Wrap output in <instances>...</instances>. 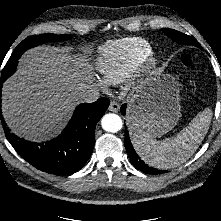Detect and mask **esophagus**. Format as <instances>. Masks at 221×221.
I'll list each match as a JSON object with an SVG mask.
<instances>
[{
    "label": "esophagus",
    "mask_w": 221,
    "mask_h": 221,
    "mask_svg": "<svg viewBox=\"0 0 221 221\" xmlns=\"http://www.w3.org/2000/svg\"><path fill=\"white\" fill-rule=\"evenodd\" d=\"M108 110L111 112H118L119 104L116 101H111Z\"/></svg>",
    "instance_id": "34e87169"
}]
</instances>
